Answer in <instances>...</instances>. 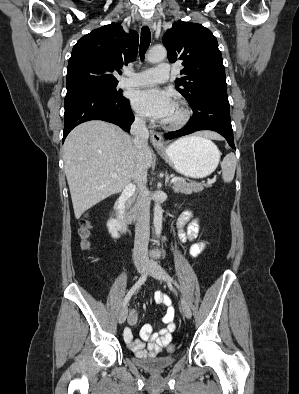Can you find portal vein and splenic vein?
<instances>
[{"label": "portal vein and splenic vein", "mask_w": 299, "mask_h": 394, "mask_svg": "<svg viewBox=\"0 0 299 394\" xmlns=\"http://www.w3.org/2000/svg\"><path fill=\"white\" fill-rule=\"evenodd\" d=\"M112 176L116 178V177H117V174H116V173H113ZM181 180H182L181 178L174 177V178H172L171 183H175V182L181 181ZM212 181H215V179H213Z\"/></svg>", "instance_id": "portal-vein-and-splenic-vein-1"}]
</instances>
